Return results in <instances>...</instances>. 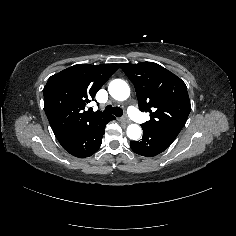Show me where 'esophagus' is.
<instances>
[{
	"label": "esophagus",
	"instance_id": "esophagus-1",
	"mask_svg": "<svg viewBox=\"0 0 236 236\" xmlns=\"http://www.w3.org/2000/svg\"><path fill=\"white\" fill-rule=\"evenodd\" d=\"M121 121L125 122L126 124L130 123V120L126 116L123 117Z\"/></svg>",
	"mask_w": 236,
	"mask_h": 236
}]
</instances>
